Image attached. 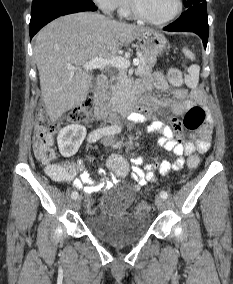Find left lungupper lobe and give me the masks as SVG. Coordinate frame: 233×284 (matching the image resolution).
I'll use <instances>...</instances> for the list:
<instances>
[{
    "instance_id": "left-lung-upper-lobe-1",
    "label": "left lung upper lobe",
    "mask_w": 233,
    "mask_h": 284,
    "mask_svg": "<svg viewBox=\"0 0 233 284\" xmlns=\"http://www.w3.org/2000/svg\"><path fill=\"white\" fill-rule=\"evenodd\" d=\"M201 2H206V0H184L185 7L189 8L193 5L199 4Z\"/></svg>"
}]
</instances>
